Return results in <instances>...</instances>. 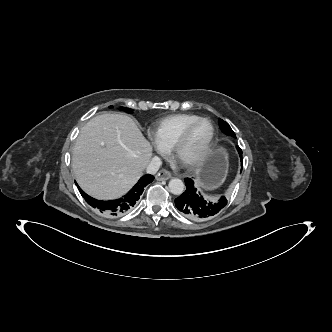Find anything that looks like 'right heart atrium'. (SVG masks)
I'll list each match as a JSON object with an SVG mask.
<instances>
[{
	"label": "right heart atrium",
	"mask_w": 332,
	"mask_h": 332,
	"mask_svg": "<svg viewBox=\"0 0 332 332\" xmlns=\"http://www.w3.org/2000/svg\"><path fill=\"white\" fill-rule=\"evenodd\" d=\"M151 147L159 155H166L167 149L164 148L155 138L150 139Z\"/></svg>",
	"instance_id": "right-heart-atrium-1"
}]
</instances>
